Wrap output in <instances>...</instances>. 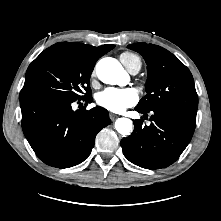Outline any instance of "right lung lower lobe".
<instances>
[{
	"mask_svg": "<svg viewBox=\"0 0 221 221\" xmlns=\"http://www.w3.org/2000/svg\"><path fill=\"white\" fill-rule=\"evenodd\" d=\"M73 102L50 94L20 96L24 135L47 165L68 168L80 164L89 156L97 133L111 123L106 109L73 111Z\"/></svg>",
	"mask_w": 221,
	"mask_h": 221,
	"instance_id": "1",
	"label": "right lung lower lobe"
}]
</instances>
